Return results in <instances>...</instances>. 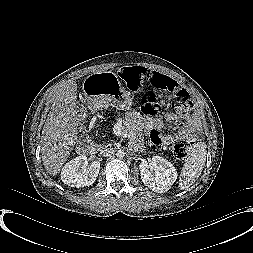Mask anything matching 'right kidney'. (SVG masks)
I'll return each mask as SVG.
<instances>
[{"label":"right kidney","instance_id":"obj_1","mask_svg":"<svg viewBox=\"0 0 253 253\" xmlns=\"http://www.w3.org/2000/svg\"><path fill=\"white\" fill-rule=\"evenodd\" d=\"M100 162L94 161L88 165L87 157L80 155L66 163L61 171V180L72 187L92 185L98 177Z\"/></svg>","mask_w":253,"mask_h":253}]
</instances>
